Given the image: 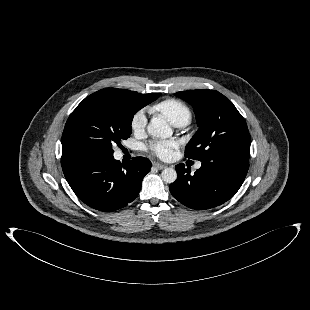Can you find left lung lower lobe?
Instances as JSON below:
<instances>
[{
    "instance_id": "obj_1",
    "label": "left lung lower lobe",
    "mask_w": 310,
    "mask_h": 310,
    "mask_svg": "<svg viewBox=\"0 0 310 310\" xmlns=\"http://www.w3.org/2000/svg\"><path fill=\"white\" fill-rule=\"evenodd\" d=\"M248 168L246 160L219 158L202 162L201 168L191 175L184 164H178L177 179L169 190L189 208L210 209L223 204L239 190Z\"/></svg>"
}]
</instances>
